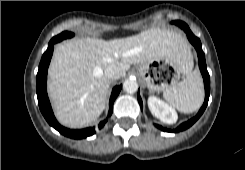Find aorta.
I'll use <instances>...</instances> for the list:
<instances>
[{"label": "aorta", "instance_id": "1", "mask_svg": "<svg viewBox=\"0 0 245 170\" xmlns=\"http://www.w3.org/2000/svg\"><path fill=\"white\" fill-rule=\"evenodd\" d=\"M123 89L127 93H135L138 90V83L135 79H126L123 83Z\"/></svg>", "mask_w": 245, "mask_h": 170}]
</instances>
